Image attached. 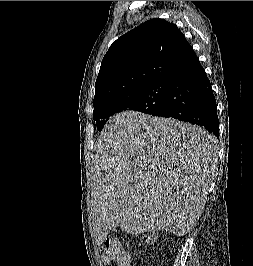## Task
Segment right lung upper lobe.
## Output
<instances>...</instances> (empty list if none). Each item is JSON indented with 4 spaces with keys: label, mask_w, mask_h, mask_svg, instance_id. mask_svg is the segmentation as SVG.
Returning a JSON list of instances; mask_svg holds the SVG:
<instances>
[{
    "label": "right lung upper lobe",
    "mask_w": 253,
    "mask_h": 266,
    "mask_svg": "<svg viewBox=\"0 0 253 266\" xmlns=\"http://www.w3.org/2000/svg\"><path fill=\"white\" fill-rule=\"evenodd\" d=\"M197 60L176 25L148 20L110 46L95 83L93 105L152 82H169Z\"/></svg>",
    "instance_id": "obj_1"
}]
</instances>
